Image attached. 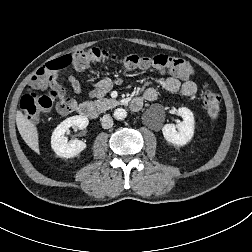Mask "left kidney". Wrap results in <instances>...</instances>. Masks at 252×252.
Here are the masks:
<instances>
[{"instance_id":"left-kidney-1","label":"left kidney","mask_w":252,"mask_h":252,"mask_svg":"<svg viewBox=\"0 0 252 252\" xmlns=\"http://www.w3.org/2000/svg\"><path fill=\"white\" fill-rule=\"evenodd\" d=\"M177 114L183 118V121L178 126L174 124L164 125L162 133L167 142L182 146L192 139L195 121L193 113L188 108H178Z\"/></svg>"}]
</instances>
